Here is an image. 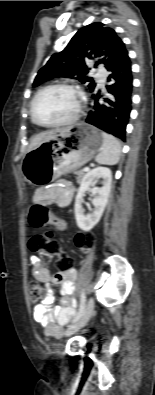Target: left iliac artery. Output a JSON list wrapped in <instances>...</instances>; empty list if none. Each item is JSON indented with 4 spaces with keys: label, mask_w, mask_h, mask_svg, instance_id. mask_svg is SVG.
Returning a JSON list of instances; mask_svg holds the SVG:
<instances>
[{
    "label": "left iliac artery",
    "mask_w": 155,
    "mask_h": 395,
    "mask_svg": "<svg viewBox=\"0 0 155 395\" xmlns=\"http://www.w3.org/2000/svg\"><path fill=\"white\" fill-rule=\"evenodd\" d=\"M85 303H86V296H85V293L83 292L81 295V299H80V307H79L78 313L76 314V316L74 317L72 322L77 321L82 316V314L84 313V310H85Z\"/></svg>",
    "instance_id": "left-iliac-artery-1"
}]
</instances>
